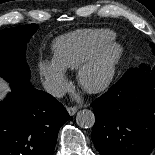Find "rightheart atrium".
Masks as SVG:
<instances>
[{
  "label": "right heart atrium",
  "instance_id": "right-heart-atrium-1",
  "mask_svg": "<svg viewBox=\"0 0 155 155\" xmlns=\"http://www.w3.org/2000/svg\"><path fill=\"white\" fill-rule=\"evenodd\" d=\"M38 69L46 90L54 96H61L68 86L65 69L53 59L40 60Z\"/></svg>",
  "mask_w": 155,
  "mask_h": 155
}]
</instances>
